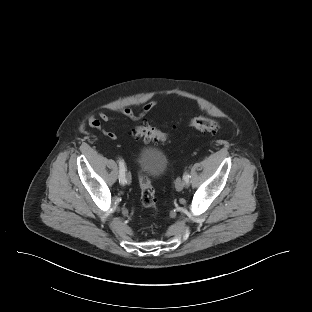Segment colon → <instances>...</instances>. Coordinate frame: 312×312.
<instances>
[{
	"instance_id": "1",
	"label": "colon",
	"mask_w": 312,
	"mask_h": 312,
	"mask_svg": "<svg viewBox=\"0 0 312 312\" xmlns=\"http://www.w3.org/2000/svg\"><path fill=\"white\" fill-rule=\"evenodd\" d=\"M189 126L200 132L216 133L220 131L221 124L216 119L210 117H197L190 121ZM133 135L143 138L146 142H160L167 139L168 135L147 123L135 127ZM141 189L140 199L142 205L151 209L154 214H158L157 200L152 183L147 175L141 173L139 176Z\"/></svg>"
}]
</instances>
